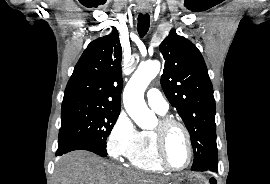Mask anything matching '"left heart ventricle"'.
Returning <instances> with one entry per match:
<instances>
[{
	"label": "left heart ventricle",
	"instance_id": "b2bd125f",
	"mask_svg": "<svg viewBox=\"0 0 270 184\" xmlns=\"http://www.w3.org/2000/svg\"><path fill=\"white\" fill-rule=\"evenodd\" d=\"M166 157L168 162L177 168L182 167L187 162L188 148L186 138L182 130L177 127L172 128L168 133Z\"/></svg>",
	"mask_w": 270,
	"mask_h": 184
}]
</instances>
